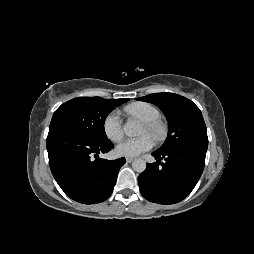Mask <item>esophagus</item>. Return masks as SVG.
Instances as JSON below:
<instances>
[{"instance_id": "esophagus-1", "label": "esophagus", "mask_w": 254, "mask_h": 254, "mask_svg": "<svg viewBox=\"0 0 254 254\" xmlns=\"http://www.w3.org/2000/svg\"><path fill=\"white\" fill-rule=\"evenodd\" d=\"M133 160H134V158H131V157H127V158H126V161H127L128 163L132 162Z\"/></svg>"}]
</instances>
